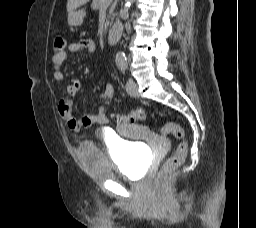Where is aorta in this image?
I'll return each mask as SVG.
<instances>
[{
	"label": "aorta",
	"instance_id": "aorta-1",
	"mask_svg": "<svg viewBox=\"0 0 256 228\" xmlns=\"http://www.w3.org/2000/svg\"><path fill=\"white\" fill-rule=\"evenodd\" d=\"M135 0H125L126 5H130L131 3H133ZM116 64L118 66L121 65H125L126 64V57L125 54L123 52H118L116 54V58H115Z\"/></svg>",
	"mask_w": 256,
	"mask_h": 228
}]
</instances>
